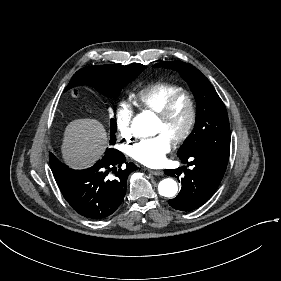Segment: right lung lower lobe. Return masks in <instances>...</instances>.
<instances>
[{"instance_id": "obj_1", "label": "right lung lower lobe", "mask_w": 281, "mask_h": 281, "mask_svg": "<svg viewBox=\"0 0 281 281\" xmlns=\"http://www.w3.org/2000/svg\"><path fill=\"white\" fill-rule=\"evenodd\" d=\"M125 161L121 152L109 149L88 169L73 170L65 166H51V169L69 205L86 218L101 219L120 206L126 194L128 176L137 169L135 164ZM123 163L126 166L121 168ZM110 173L113 176L110 177Z\"/></svg>"}]
</instances>
